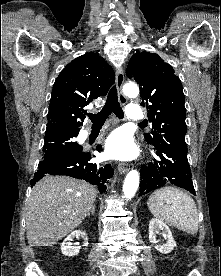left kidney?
<instances>
[{
    "mask_svg": "<svg viewBox=\"0 0 221 276\" xmlns=\"http://www.w3.org/2000/svg\"><path fill=\"white\" fill-rule=\"evenodd\" d=\"M159 231H161L165 239H167V242L163 245H158V241L156 239ZM149 241L155 245L156 250L163 254L170 253L176 246V242L172 236L170 228L164 222L155 218L151 219L149 223Z\"/></svg>",
    "mask_w": 221,
    "mask_h": 276,
    "instance_id": "1",
    "label": "left kidney"
}]
</instances>
